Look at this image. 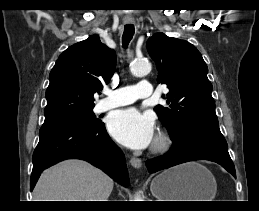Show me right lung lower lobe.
I'll list each match as a JSON object with an SVG mask.
<instances>
[{
  "mask_svg": "<svg viewBox=\"0 0 259 211\" xmlns=\"http://www.w3.org/2000/svg\"><path fill=\"white\" fill-rule=\"evenodd\" d=\"M39 136L32 159L31 191L44 169L69 158L88 161L118 183L128 185L124 154L107 134L104 123L98 126L64 123L43 125Z\"/></svg>",
  "mask_w": 259,
  "mask_h": 211,
  "instance_id": "obj_1",
  "label": "right lung lower lobe"
}]
</instances>
